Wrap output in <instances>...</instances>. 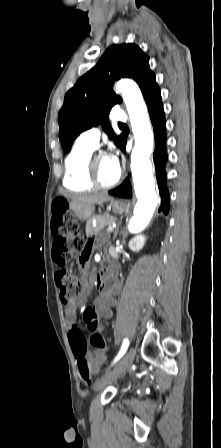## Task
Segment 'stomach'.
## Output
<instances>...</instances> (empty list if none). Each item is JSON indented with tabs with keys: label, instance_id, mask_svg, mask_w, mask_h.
<instances>
[{
	"label": "stomach",
	"instance_id": "stomach-1",
	"mask_svg": "<svg viewBox=\"0 0 221 448\" xmlns=\"http://www.w3.org/2000/svg\"><path fill=\"white\" fill-rule=\"evenodd\" d=\"M68 204V203H67ZM69 209L73 210L75 215L81 221H89L93 212V207L86 208H73L72 204L69 203ZM110 207L112 211L117 214H122L128 209V204L125 201L121 200H110Z\"/></svg>",
	"mask_w": 221,
	"mask_h": 448
}]
</instances>
